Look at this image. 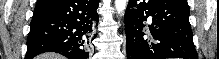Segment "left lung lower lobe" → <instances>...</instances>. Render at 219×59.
Here are the masks:
<instances>
[{
    "label": "left lung lower lobe",
    "mask_w": 219,
    "mask_h": 59,
    "mask_svg": "<svg viewBox=\"0 0 219 59\" xmlns=\"http://www.w3.org/2000/svg\"><path fill=\"white\" fill-rule=\"evenodd\" d=\"M187 0H129L127 59H198Z\"/></svg>",
    "instance_id": "0a47b994"
}]
</instances>
